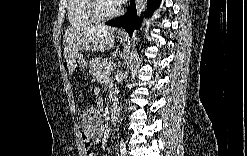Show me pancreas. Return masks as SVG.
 Instances as JSON below:
<instances>
[{"instance_id": "cf45deb5", "label": "pancreas", "mask_w": 247, "mask_h": 156, "mask_svg": "<svg viewBox=\"0 0 247 156\" xmlns=\"http://www.w3.org/2000/svg\"><path fill=\"white\" fill-rule=\"evenodd\" d=\"M111 70L112 63L108 59H105L102 62L100 61L95 67L90 68L91 74L96 77V80L99 83H104L107 80Z\"/></svg>"}]
</instances>
